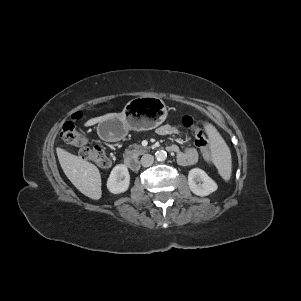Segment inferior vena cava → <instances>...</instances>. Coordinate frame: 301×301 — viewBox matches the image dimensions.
Returning a JSON list of instances; mask_svg holds the SVG:
<instances>
[{
  "label": "inferior vena cava",
  "instance_id": "obj_1",
  "mask_svg": "<svg viewBox=\"0 0 301 301\" xmlns=\"http://www.w3.org/2000/svg\"><path fill=\"white\" fill-rule=\"evenodd\" d=\"M154 157L151 154H145L141 158V164L144 167H149L153 164Z\"/></svg>",
  "mask_w": 301,
  "mask_h": 301
}]
</instances>
